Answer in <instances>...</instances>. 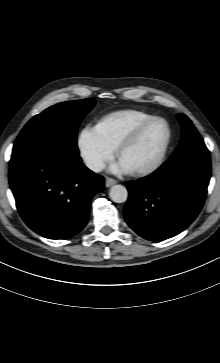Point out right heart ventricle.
Here are the masks:
<instances>
[{
  "label": "right heart ventricle",
  "instance_id": "right-heart-ventricle-1",
  "mask_svg": "<svg viewBox=\"0 0 220 363\" xmlns=\"http://www.w3.org/2000/svg\"><path fill=\"white\" fill-rule=\"evenodd\" d=\"M153 117V115L139 110H119L100 118L95 129L111 148H115L133 128Z\"/></svg>",
  "mask_w": 220,
  "mask_h": 363
}]
</instances>
